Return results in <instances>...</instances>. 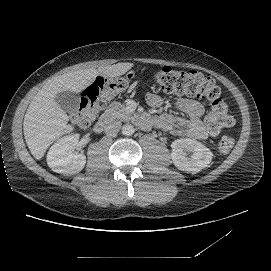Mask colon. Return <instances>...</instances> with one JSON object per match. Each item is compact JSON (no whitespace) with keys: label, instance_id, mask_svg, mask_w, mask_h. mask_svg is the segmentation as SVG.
Returning <instances> with one entry per match:
<instances>
[{"label":"colon","instance_id":"1","mask_svg":"<svg viewBox=\"0 0 271 271\" xmlns=\"http://www.w3.org/2000/svg\"><path fill=\"white\" fill-rule=\"evenodd\" d=\"M132 75L116 78L97 77L85 91L79 107L72 113V121L80 127H88L98 111L111 98L126 89ZM154 88L157 91L199 97L207 101L210 110L205 118V125L210 135H217L223 129L234 124L229 107L221 98L220 88L215 81L198 71H184L164 66L153 73ZM234 146V139L223 136L218 144L221 154L229 153Z\"/></svg>","mask_w":271,"mask_h":271}]
</instances>
